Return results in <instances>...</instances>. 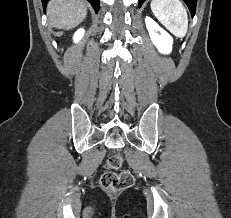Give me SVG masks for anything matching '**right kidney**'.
<instances>
[{"mask_svg":"<svg viewBox=\"0 0 231 218\" xmlns=\"http://www.w3.org/2000/svg\"><path fill=\"white\" fill-rule=\"evenodd\" d=\"M85 30L80 28L79 30H77L73 36V40L75 43H78L82 37L84 36Z\"/></svg>","mask_w":231,"mask_h":218,"instance_id":"ca27d5eb","label":"right kidney"}]
</instances>
